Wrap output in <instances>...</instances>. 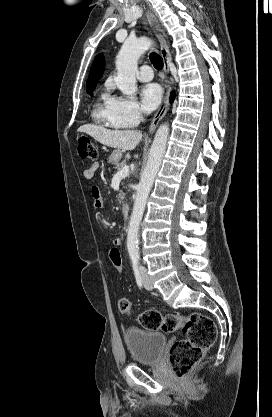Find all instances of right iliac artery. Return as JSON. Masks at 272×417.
<instances>
[{
  "label": "right iliac artery",
  "instance_id": "right-iliac-artery-1",
  "mask_svg": "<svg viewBox=\"0 0 272 417\" xmlns=\"http://www.w3.org/2000/svg\"><path fill=\"white\" fill-rule=\"evenodd\" d=\"M133 270H134V275H135V279H136V283L139 286V288H142L143 285V281H142V277L141 274L138 270V265L136 263L133 264Z\"/></svg>",
  "mask_w": 272,
  "mask_h": 417
}]
</instances>
